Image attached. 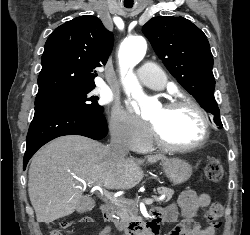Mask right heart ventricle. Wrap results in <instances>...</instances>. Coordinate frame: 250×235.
Instances as JSON below:
<instances>
[{
    "label": "right heart ventricle",
    "instance_id": "e07e8e85",
    "mask_svg": "<svg viewBox=\"0 0 250 235\" xmlns=\"http://www.w3.org/2000/svg\"><path fill=\"white\" fill-rule=\"evenodd\" d=\"M154 146V143L150 140V142L145 146L144 150H149Z\"/></svg>",
    "mask_w": 250,
    "mask_h": 235
}]
</instances>
